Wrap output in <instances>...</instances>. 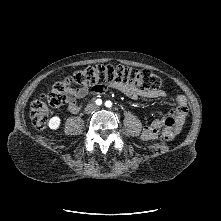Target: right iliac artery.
Returning <instances> with one entry per match:
<instances>
[{
  "label": "right iliac artery",
  "instance_id": "1",
  "mask_svg": "<svg viewBox=\"0 0 221 221\" xmlns=\"http://www.w3.org/2000/svg\"><path fill=\"white\" fill-rule=\"evenodd\" d=\"M96 104H97V105H101V104H102V100H101V99H97V100H96Z\"/></svg>",
  "mask_w": 221,
  "mask_h": 221
}]
</instances>
